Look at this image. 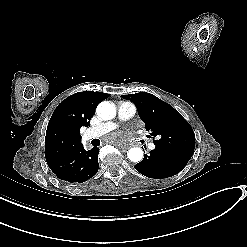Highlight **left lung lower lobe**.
Returning a JSON list of instances; mask_svg holds the SVG:
<instances>
[{
  "mask_svg": "<svg viewBox=\"0 0 247 247\" xmlns=\"http://www.w3.org/2000/svg\"><path fill=\"white\" fill-rule=\"evenodd\" d=\"M190 158L182 152L155 147L149 156L144 155V159L134 167L146 177L163 179L179 173Z\"/></svg>",
  "mask_w": 247,
  "mask_h": 247,
  "instance_id": "obj_1",
  "label": "left lung lower lobe"
}]
</instances>
